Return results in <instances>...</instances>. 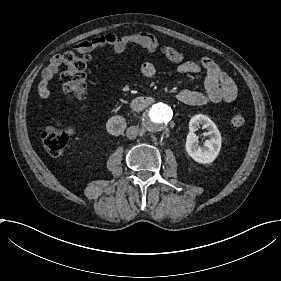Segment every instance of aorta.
Returning <instances> with one entry per match:
<instances>
[{"label": "aorta", "mask_w": 281, "mask_h": 281, "mask_svg": "<svg viewBox=\"0 0 281 281\" xmlns=\"http://www.w3.org/2000/svg\"><path fill=\"white\" fill-rule=\"evenodd\" d=\"M144 117L147 129L155 132L161 130L165 124L170 122L173 111L167 104L157 103L152 105Z\"/></svg>", "instance_id": "aorta-1"}]
</instances>
